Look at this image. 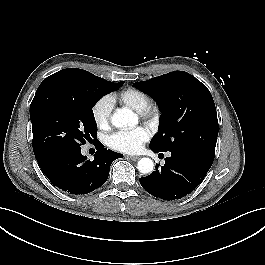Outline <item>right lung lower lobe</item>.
Returning a JSON list of instances; mask_svg holds the SVG:
<instances>
[{"instance_id":"98d812e1","label":"right lung lower lobe","mask_w":265,"mask_h":265,"mask_svg":"<svg viewBox=\"0 0 265 265\" xmlns=\"http://www.w3.org/2000/svg\"><path fill=\"white\" fill-rule=\"evenodd\" d=\"M35 157L56 187L70 194H87L106 182L111 163L123 155L107 150L99 142L93 161L81 154V147L51 150Z\"/></svg>"}]
</instances>
